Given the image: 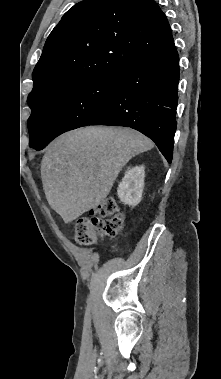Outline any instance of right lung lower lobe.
Listing matches in <instances>:
<instances>
[{
	"label": "right lung lower lobe",
	"instance_id": "obj_1",
	"mask_svg": "<svg viewBox=\"0 0 221 379\" xmlns=\"http://www.w3.org/2000/svg\"><path fill=\"white\" fill-rule=\"evenodd\" d=\"M178 81L179 56L173 42L122 69L112 100L88 125L136 129L152 139L171 163L176 131Z\"/></svg>",
	"mask_w": 221,
	"mask_h": 379
}]
</instances>
